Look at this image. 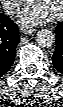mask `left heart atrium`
<instances>
[{"mask_svg": "<svg viewBox=\"0 0 63 107\" xmlns=\"http://www.w3.org/2000/svg\"><path fill=\"white\" fill-rule=\"evenodd\" d=\"M51 14L36 4L27 6L21 13V19L26 24H41L46 21Z\"/></svg>", "mask_w": 63, "mask_h": 107, "instance_id": "obj_1", "label": "left heart atrium"}]
</instances>
